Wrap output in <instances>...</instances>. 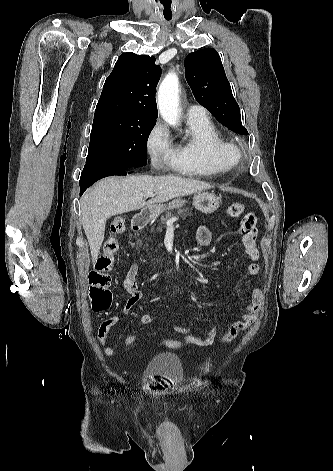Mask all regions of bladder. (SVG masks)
Listing matches in <instances>:
<instances>
[{
    "instance_id": "bladder-1",
    "label": "bladder",
    "mask_w": 333,
    "mask_h": 471,
    "mask_svg": "<svg viewBox=\"0 0 333 471\" xmlns=\"http://www.w3.org/2000/svg\"><path fill=\"white\" fill-rule=\"evenodd\" d=\"M145 375L161 377L180 384L184 377L183 365L180 358L173 353L155 355L146 365Z\"/></svg>"
}]
</instances>
